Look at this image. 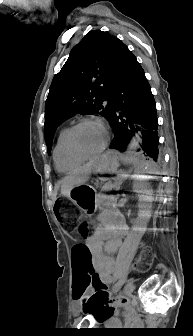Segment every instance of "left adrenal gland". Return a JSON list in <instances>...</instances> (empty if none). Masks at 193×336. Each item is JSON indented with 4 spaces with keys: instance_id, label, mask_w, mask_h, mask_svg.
<instances>
[{
    "instance_id": "obj_1",
    "label": "left adrenal gland",
    "mask_w": 193,
    "mask_h": 336,
    "mask_svg": "<svg viewBox=\"0 0 193 336\" xmlns=\"http://www.w3.org/2000/svg\"><path fill=\"white\" fill-rule=\"evenodd\" d=\"M127 178V175L124 173L118 174V181H116L118 184H122L123 180Z\"/></svg>"
}]
</instances>
